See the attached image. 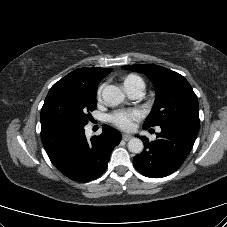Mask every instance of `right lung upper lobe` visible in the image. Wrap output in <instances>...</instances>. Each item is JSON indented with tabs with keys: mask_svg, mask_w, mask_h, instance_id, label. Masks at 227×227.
<instances>
[{
	"mask_svg": "<svg viewBox=\"0 0 227 227\" xmlns=\"http://www.w3.org/2000/svg\"><path fill=\"white\" fill-rule=\"evenodd\" d=\"M111 72V69L103 68H80L63 77L68 80L81 82H100V80Z\"/></svg>",
	"mask_w": 227,
	"mask_h": 227,
	"instance_id": "cb5924a9",
	"label": "right lung upper lobe"
}]
</instances>
